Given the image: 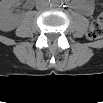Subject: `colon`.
Segmentation results:
<instances>
[{"instance_id":"colon-1","label":"colon","mask_w":103,"mask_h":103,"mask_svg":"<svg viewBox=\"0 0 103 103\" xmlns=\"http://www.w3.org/2000/svg\"><path fill=\"white\" fill-rule=\"evenodd\" d=\"M103 35V14H99L91 23L87 37L91 40L101 38Z\"/></svg>"}]
</instances>
